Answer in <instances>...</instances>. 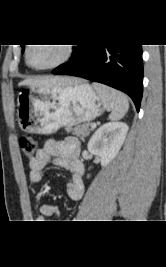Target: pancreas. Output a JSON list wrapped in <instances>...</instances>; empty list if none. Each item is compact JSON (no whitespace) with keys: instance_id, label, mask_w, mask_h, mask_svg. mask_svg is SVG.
I'll use <instances>...</instances> for the list:
<instances>
[{"instance_id":"cf45deb5","label":"pancreas","mask_w":166,"mask_h":267,"mask_svg":"<svg viewBox=\"0 0 166 267\" xmlns=\"http://www.w3.org/2000/svg\"><path fill=\"white\" fill-rule=\"evenodd\" d=\"M90 123H84L81 125H77L75 127L68 126L66 127L67 132H72L73 135H76L80 137L82 140H84L87 136H89L91 128Z\"/></svg>"}]
</instances>
